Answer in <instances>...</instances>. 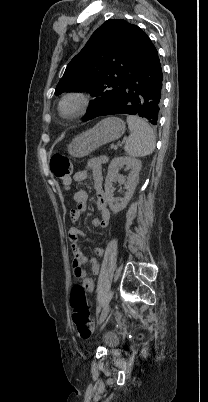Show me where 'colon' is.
<instances>
[{
	"label": "colon",
	"instance_id": "obj_1",
	"mask_svg": "<svg viewBox=\"0 0 208 402\" xmlns=\"http://www.w3.org/2000/svg\"><path fill=\"white\" fill-rule=\"evenodd\" d=\"M49 167L52 174L61 181V183L69 187L72 181V164L67 156L56 153L50 159ZM71 307L73 309V321L81 338L87 339L92 333L91 313L86 298L84 288L76 284L71 292ZM138 336L142 335L141 331L137 332Z\"/></svg>",
	"mask_w": 208,
	"mask_h": 402
}]
</instances>
